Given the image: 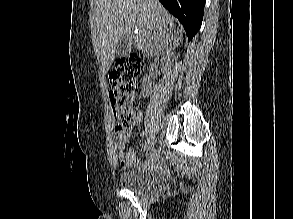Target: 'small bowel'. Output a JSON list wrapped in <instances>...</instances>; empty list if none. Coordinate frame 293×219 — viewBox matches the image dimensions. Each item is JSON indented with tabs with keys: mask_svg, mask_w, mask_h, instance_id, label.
<instances>
[{
	"mask_svg": "<svg viewBox=\"0 0 293 219\" xmlns=\"http://www.w3.org/2000/svg\"><path fill=\"white\" fill-rule=\"evenodd\" d=\"M113 110L116 113L115 108ZM141 120L142 112L138 111L133 126L138 125ZM131 128L132 126L126 129H119L116 126L118 155L120 158V163L123 167H133L139 165L135 152L132 150H126V144L128 142V136L130 134Z\"/></svg>",
	"mask_w": 293,
	"mask_h": 219,
	"instance_id": "1",
	"label": "small bowel"
}]
</instances>
